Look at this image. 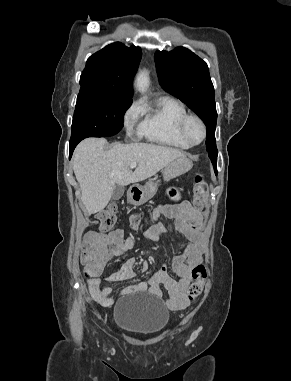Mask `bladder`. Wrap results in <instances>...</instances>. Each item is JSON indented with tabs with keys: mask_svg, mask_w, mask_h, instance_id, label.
<instances>
[{
	"mask_svg": "<svg viewBox=\"0 0 291 381\" xmlns=\"http://www.w3.org/2000/svg\"><path fill=\"white\" fill-rule=\"evenodd\" d=\"M170 319V312L149 293L123 296L114 307L115 325L132 335L148 337L162 332Z\"/></svg>",
	"mask_w": 291,
	"mask_h": 381,
	"instance_id": "31cf9c89",
	"label": "bladder"
}]
</instances>
